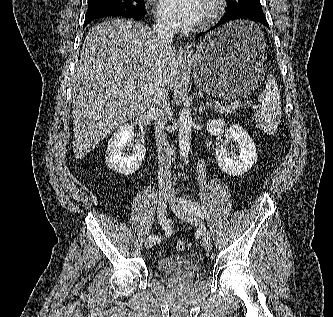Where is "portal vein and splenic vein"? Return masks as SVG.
I'll list each match as a JSON object with an SVG mask.
<instances>
[{"instance_id": "obj_1", "label": "portal vein and splenic vein", "mask_w": 333, "mask_h": 317, "mask_svg": "<svg viewBox=\"0 0 333 317\" xmlns=\"http://www.w3.org/2000/svg\"><path fill=\"white\" fill-rule=\"evenodd\" d=\"M215 104H219V102H215ZM233 105H239L240 104V102L239 101H235L234 103H232ZM253 108H257V106L256 105H254L253 106Z\"/></svg>"}]
</instances>
